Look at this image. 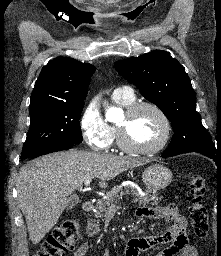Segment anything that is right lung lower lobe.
Segmentation results:
<instances>
[{
	"label": "right lung lower lobe",
	"instance_id": "1",
	"mask_svg": "<svg viewBox=\"0 0 221 256\" xmlns=\"http://www.w3.org/2000/svg\"><path fill=\"white\" fill-rule=\"evenodd\" d=\"M75 144L72 143H60V144H56L47 148H44L42 150H40L39 152H37L36 154L30 156L29 158H35L44 154H48V153H52V152H57V151H61V150H66V149H70L74 146Z\"/></svg>",
	"mask_w": 221,
	"mask_h": 256
}]
</instances>
